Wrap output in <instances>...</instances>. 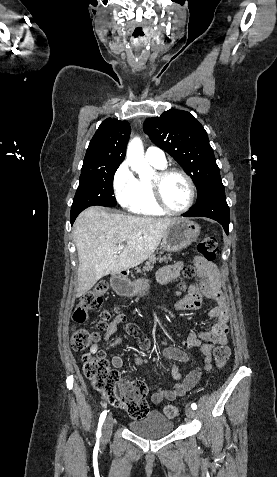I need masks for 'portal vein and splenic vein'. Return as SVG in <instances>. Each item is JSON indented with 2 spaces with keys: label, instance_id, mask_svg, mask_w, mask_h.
Returning a JSON list of instances; mask_svg holds the SVG:
<instances>
[{
  "label": "portal vein and splenic vein",
  "instance_id": "portal-vein-and-splenic-vein-1",
  "mask_svg": "<svg viewBox=\"0 0 277 477\" xmlns=\"http://www.w3.org/2000/svg\"><path fill=\"white\" fill-rule=\"evenodd\" d=\"M123 248H124V245H123V244H119V245L117 246V249H118V250H122Z\"/></svg>",
  "mask_w": 277,
  "mask_h": 477
}]
</instances>
